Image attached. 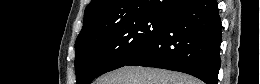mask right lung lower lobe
I'll return each instance as SVG.
<instances>
[{
  "instance_id": "98d812e1",
  "label": "right lung lower lobe",
  "mask_w": 260,
  "mask_h": 84,
  "mask_svg": "<svg viewBox=\"0 0 260 84\" xmlns=\"http://www.w3.org/2000/svg\"><path fill=\"white\" fill-rule=\"evenodd\" d=\"M221 41L216 0H192L169 14L160 35L126 65L180 71L217 84Z\"/></svg>"
}]
</instances>
